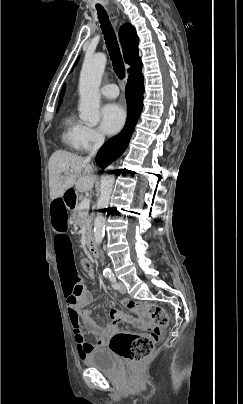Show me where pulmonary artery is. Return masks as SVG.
Masks as SVG:
<instances>
[{"label": "pulmonary artery", "mask_w": 243, "mask_h": 404, "mask_svg": "<svg viewBox=\"0 0 243 404\" xmlns=\"http://www.w3.org/2000/svg\"><path fill=\"white\" fill-rule=\"evenodd\" d=\"M101 94L108 98H115L119 94V88L115 84H107L101 88Z\"/></svg>", "instance_id": "1"}]
</instances>
